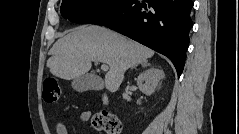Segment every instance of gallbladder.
Returning <instances> with one entry per match:
<instances>
[{"label":"gallbladder","mask_w":239,"mask_h":134,"mask_svg":"<svg viewBox=\"0 0 239 134\" xmlns=\"http://www.w3.org/2000/svg\"><path fill=\"white\" fill-rule=\"evenodd\" d=\"M72 87L79 92L100 90L103 88V83L100 78L93 74H84L73 79Z\"/></svg>","instance_id":"gallbladder-1"}]
</instances>
